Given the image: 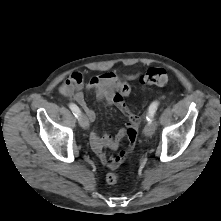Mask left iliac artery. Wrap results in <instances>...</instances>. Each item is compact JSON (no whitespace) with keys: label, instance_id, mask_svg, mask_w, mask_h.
<instances>
[{"label":"left iliac artery","instance_id":"1","mask_svg":"<svg viewBox=\"0 0 221 221\" xmlns=\"http://www.w3.org/2000/svg\"><path fill=\"white\" fill-rule=\"evenodd\" d=\"M159 106V102L158 101H154L148 109V116H147V120L148 121H152V118L154 116V114L156 113V110Z\"/></svg>","mask_w":221,"mask_h":221}]
</instances>
